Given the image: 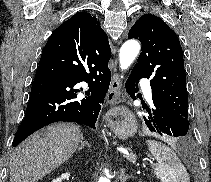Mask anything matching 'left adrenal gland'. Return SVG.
<instances>
[{
    "label": "left adrenal gland",
    "mask_w": 211,
    "mask_h": 182,
    "mask_svg": "<svg viewBox=\"0 0 211 182\" xmlns=\"http://www.w3.org/2000/svg\"><path fill=\"white\" fill-rule=\"evenodd\" d=\"M130 178H134V176H130L128 174L125 173V169H121V173H120V182H126L127 179H130Z\"/></svg>",
    "instance_id": "obj_1"
}]
</instances>
